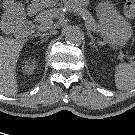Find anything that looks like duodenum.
<instances>
[{"mask_svg": "<svg viewBox=\"0 0 135 135\" xmlns=\"http://www.w3.org/2000/svg\"><path fill=\"white\" fill-rule=\"evenodd\" d=\"M3 26L7 33L17 37H22L31 31V29L33 28V23L31 20H24L21 22L7 20L4 22Z\"/></svg>", "mask_w": 135, "mask_h": 135, "instance_id": "obj_1", "label": "duodenum"}]
</instances>
